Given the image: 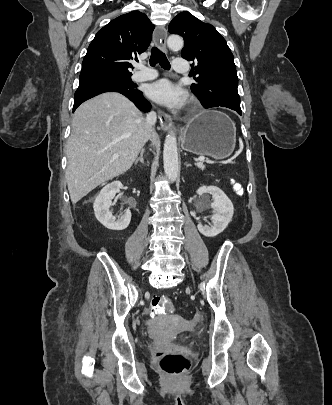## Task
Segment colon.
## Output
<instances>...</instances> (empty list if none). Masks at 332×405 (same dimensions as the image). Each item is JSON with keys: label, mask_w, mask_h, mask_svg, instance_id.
<instances>
[{"label": "colon", "mask_w": 332, "mask_h": 405, "mask_svg": "<svg viewBox=\"0 0 332 405\" xmlns=\"http://www.w3.org/2000/svg\"><path fill=\"white\" fill-rule=\"evenodd\" d=\"M232 188L235 192L241 191L238 183H232ZM175 306H172L171 298L163 295H155L151 301V311L155 314H166L168 317H175V312L170 311ZM170 311V312H169ZM160 369L170 375H180L184 373L191 364L189 356L181 351L177 352H164L158 354Z\"/></svg>", "instance_id": "obj_1"}]
</instances>
